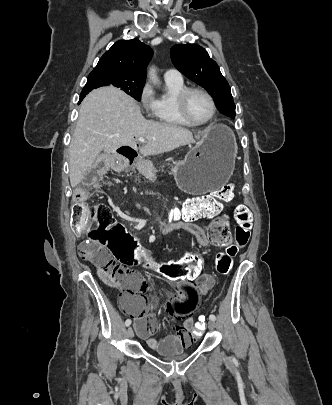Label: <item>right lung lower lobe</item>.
Segmentation results:
<instances>
[{
	"instance_id": "98d812e1",
	"label": "right lung lower lobe",
	"mask_w": 332,
	"mask_h": 405,
	"mask_svg": "<svg viewBox=\"0 0 332 405\" xmlns=\"http://www.w3.org/2000/svg\"><path fill=\"white\" fill-rule=\"evenodd\" d=\"M90 91H82L81 95H80V101L79 103L83 100V98L86 96V94H88Z\"/></svg>"
}]
</instances>
